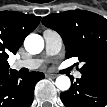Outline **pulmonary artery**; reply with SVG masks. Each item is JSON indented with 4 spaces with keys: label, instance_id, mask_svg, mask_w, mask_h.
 <instances>
[{
    "label": "pulmonary artery",
    "instance_id": "1",
    "mask_svg": "<svg viewBox=\"0 0 107 107\" xmlns=\"http://www.w3.org/2000/svg\"><path fill=\"white\" fill-rule=\"evenodd\" d=\"M43 38L45 41V50L47 55H55L60 51L62 47V38L57 32L45 30L43 33ZM42 62L43 61L41 59L19 60L14 63V67L36 69L42 64ZM74 76L79 78L81 73L75 72Z\"/></svg>",
    "mask_w": 107,
    "mask_h": 107
}]
</instances>
